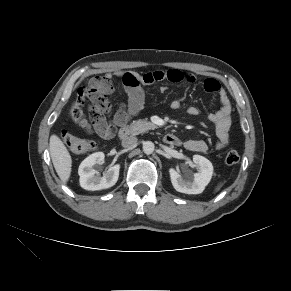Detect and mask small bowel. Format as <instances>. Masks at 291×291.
I'll use <instances>...</instances> for the list:
<instances>
[{"label":"small bowel","instance_id":"small-bowel-1","mask_svg":"<svg viewBox=\"0 0 291 291\" xmlns=\"http://www.w3.org/2000/svg\"><path fill=\"white\" fill-rule=\"evenodd\" d=\"M113 77L121 80L127 96V101L118 108L110 120H107L105 117V115H109L111 113V105L108 100L106 101L105 106L102 109V121L94 129L97 135L105 138L111 137L114 134L115 126L125 125L131 118L138 115L143 109L145 103L144 86L152 85L160 81L193 85L196 81L193 74H186L175 69L166 71L156 70L146 72L144 74H140L135 71H120L115 74H106L101 77H95L90 80L89 86H96L105 83V94H111L113 92ZM204 88L207 92L216 93L221 103L220 109L210 113L208 115V119L215 128L217 138L216 147L218 149H222L230 143L229 130L232 123L231 101L227 92L215 79H207L204 82ZM171 108L176 111L184 110L191 116L201 114L200 109L195 106L184 107L182 99L174 100L171 103ZM184 147L193 152H205L207 150V145L202 140H188L184 143Z\"/></svg>","mask_w":291,"mask_h":291}]
</instances>
